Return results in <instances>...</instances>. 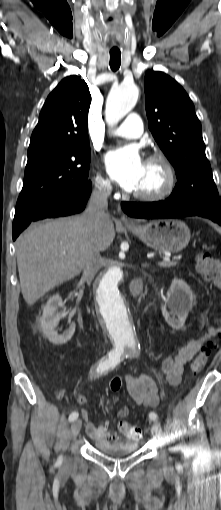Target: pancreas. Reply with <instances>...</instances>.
<instances>
[{"label":"pancreas","instance_id":"obj_1","mask_svg":"<svg viewBox=\"0 0 221 510\" xmlns=\"http://www.w3.org/2000/svg\"><path fill=\"white\" fill-rule=\"evenodd\" d=\"M175 265H176V263H175V262H173V264H172V265H170V266H166V267H173V266H175Z\"/></svg>","mask_w":221,"mask_h":510}]
</instances>
